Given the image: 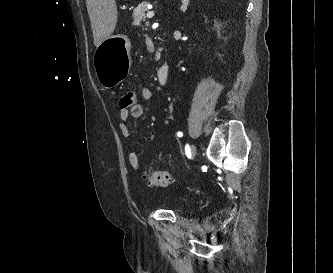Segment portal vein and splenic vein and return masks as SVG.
Wrapping results in <instances>:
<instances>
[{
	"label": "portal vein and splenic vein",
	"mask_w": 333,
	"mask_h": 273,
	"mask_svg": "<svg viewBox=\"0 0 333 273\" xmlns=\"http://www.w3.org/2000/svg\"><path fill=\"white\" fill-rule=\"evenodd\" d=\"M155 15V13H154V11H149L148 13H147V18H152L153 16Z\"/></svg>",
	"instance_id": "1"
}]
</instances>
